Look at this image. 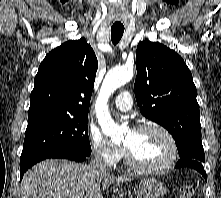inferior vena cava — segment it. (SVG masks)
Segmentation results:
<instances>
[{"instance_id": "1", "label": "inferior vena cava", "mask_w": 221, "mask_h": 198, "mask_svg": "<svg viewBox=\"0 0 221 198\" xmlns=\"http://www.w3.org/2000/svg\"><path fill=\"white\" fill-rule=\"evenodd\" d=\"M89 166L94 170L107 171L106 165L104 164L102 158L99 155L95 156V158L91 161Z\"/></svg>"}]
</instances>
